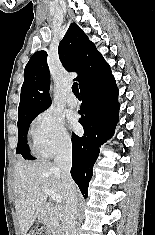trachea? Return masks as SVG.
<instances>
[{
  "label": "trachea",
  "mask_w": 155,
  "mask_h": 235,
  "mask_svg": "<svg viewBox=\"0 0 155 235\" xmlns=\"http://www.w3.org/2000/svg\"><path fill=\"white\" fill-rule=\"evenodd\" d=\"M72 91L76 96H80L78 84L76 82L72 85Z\"/></svg>",
  "instance_id": "obj_1"
}]
</instances>
